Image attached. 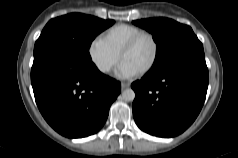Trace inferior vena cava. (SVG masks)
Masks as SVG:
<instances>
[{"label": "inferior vena cava", "instance_id": "1", "mask_svg": "<svg viewBox=\"0 0 238 158\" xmlns=\"http://www.w3.org/2000/svg\"><path fill=\"white\" fill-rule=\"evenodd\" d=\"M109 69H110V67L108 65H105V66L102 67L103 71H108Z\"/></svg>", "mask_w": 238, "mask_h": 158}]
</instances>
